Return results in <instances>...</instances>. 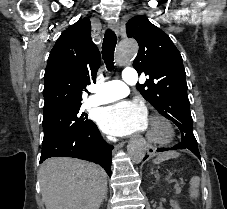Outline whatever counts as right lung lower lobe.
<instances>
[{
    "label": "right lung lower lobe",
    "instance_id": "right-lung-lower-lobe-1",
    "mask_svg": "<svg viewBox=\"0 0 227 209\" xmlns=\"http://www.w3.org/2000/svg\"><path fill=\"white\" fill-rule=\"evenodd\" d=\"M95 123L42 143L40 163L51 157H73L101 165L111 176V150Z\"/></svg>",
    "mask_w": 227,
    "mask_h": 209
}]
</instances>
